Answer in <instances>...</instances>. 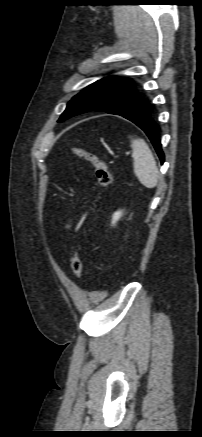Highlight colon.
I'll use <instances>...</instances> for the list:
<instances>
[{"label": "colon", "instance_id": "colon-1", "mask_svg": "<svg viewBox=\"0 0 202 437\" xmlns=\"http://www.w3.org/2000/svg\"><path fill=\"white\" fill-rule=\"evenodd\" d=\"M71 151L75 156L87 161L93 166L98 186L101 189H105L111 184L112 177L108 170L107 164L98 154L84 148H72ZM82 269L83 263L80 254V248L77 246L71 258V270L73 275L76 278H79L82 274Z\"/></svg>", "mask_w": 202, "mask_h": 437}]
</instances>
